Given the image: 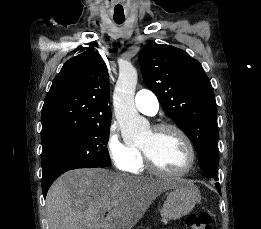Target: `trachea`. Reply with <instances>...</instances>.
<instances>
[{"label":"trachea","instance_id":"1","mask_svg":"<svg viewBox=\"0 0 261 229\" xmlns=\"http://www.w3.org/2000/svg\"><path fill=\"white\" fill-rule=\"evenodd\" d=\"M114 21L117 23V24H121L125 21V17H114Z\"/></svg>","mask_w":261,"mask_h":229}]
</instances>
